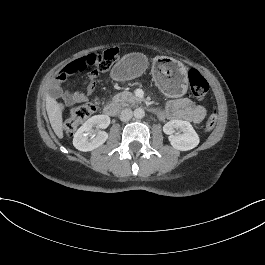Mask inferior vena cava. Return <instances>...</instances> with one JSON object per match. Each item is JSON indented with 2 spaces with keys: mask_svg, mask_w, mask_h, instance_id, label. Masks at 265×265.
I'll list each match as a JSON object with an SVG mask.
<instances>
[{
  "mask_svg": "<svg viewBox=\"0 0 265 265\" xmlns=\"http://www.w3.org/2000/svg\"><path fill=\"white\" fill-rule=\"evenodd\" d=\"M133 116V112L131 109L126 108L124 110H122L121 114H120V120L121 121H128L132 118Z\"/></svg>",
  "mask_w": 265,
  "mask_h": 265,
  "instance_id": "obj_1",
  "label": "inferior vena cava"
}]
</instances>
